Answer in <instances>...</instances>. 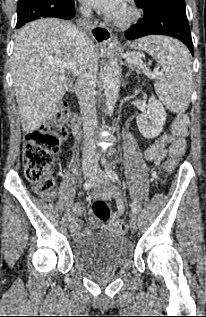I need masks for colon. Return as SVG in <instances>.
<instances>
[{
	"label": "colon",
	"mask_w": 206,
	"mask_h": 317,
	"mask_svg": "<svg viewBox=\"0 0 206 317\" xmlns=\"http://www.w3.org/2000/svg\"><path fill=\"white\" fill-rule=\"evenodd\" d=\"M70 118V109L66 105H61L51 122L25 136L23 152L25 175L40 195H49L54 188V181L50 174L61 143L67 137V123ZM172 131L177 137L170 147V159L167 163L169 168H173L185 152L184 137L189 133V118L186 114L175 115ZM92 210L99 220L111 221V211L104 201H95ZM111 228L119 234H125L128 231L127 225L121 221L113 222Z\"/></svg>",
	"instance_id": "5ec220e1"
}]
</instances>
